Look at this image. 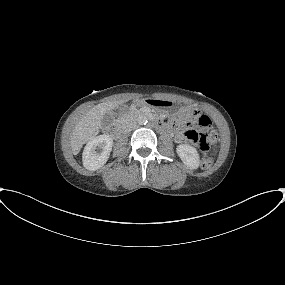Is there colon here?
<instances>
[{
  "mask_svg": "<svg viewBox=\"0 0 285 285\" xmlns=\"http://www.w3.org/2000/svg\"><path fill=\"white\" fill-rule=\"evenodd\" d=\"M183 120L187 125L192 126L185 132V138L196 143L204 153L200 162L201 167L204 169L210 168L213 164V157L207 155L206 152L209 150L210 145L217 140L215 131H207L211 124L210 118L205 114H198L194 110H188Z\"/></svg>",
  "mask_w": 285,
  "mask_h": 285,
  "instance_id": "obj_1",
  "label": "colon"
}]
</instances>
